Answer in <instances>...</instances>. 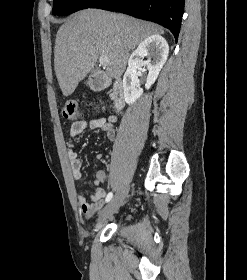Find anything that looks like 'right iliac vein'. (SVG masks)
I'll return each mask as SVG.
<instances>
[{"mask_svg":"<svg viewBox=\"0 0 247 280\" xmlns=\"http://www.w3.org/2000/svg\"><path fill=\"white\" fill-rule=\"evenodd\" d=\"M127 193H128V189L123 188L115 194V196L111 199V201L101 211L99 218L97 220L98 225H101L107 218L112 216L119 209L125 197L127 196Z\"/></svg>","mask_w":247,"mask_h":280,"instance_id":"63e3f726","label":"right iliac vein"}]
</instances>
